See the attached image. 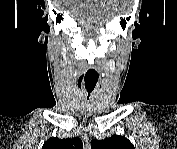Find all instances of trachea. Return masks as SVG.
Listing matches in <instances>:
<instances>
[{
	"label": "trachea",
	"instance_id": "trachea-1",
	"mask_svg": "<svg viewBox=\"0 0 177 149\" xmlns=\"http://www.w3.org/2000/svg\"><path fill=\"white\" fill-rule=\"evenodd\" d=\"M89 96H90V91H88V98H89Z\"/></svg>",
	"mask_w": 177,
	"mask_h": 149
}]
</instances>
